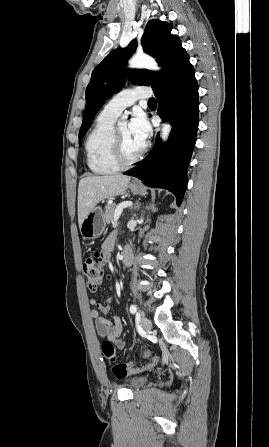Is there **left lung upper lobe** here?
<instances>
[{
  "instance_id": "5c2ea615",
  "label": "left lung upper lobe",
  "mask_w": 269,
  "mask_h": 447,
  "mask_svg": "<svg viewBox=\"0 0 269 447\" xmlns=\"http://www.w3.org/2000/svg\"><path fill=\"white\" fill-rule=\"evenodd\" d=\"M171 29L172 26L166 22L151 20L141 39L144 52L156 58L162 67L159 72L125 68L126 61L136 50L135 40L124 49L113 50L96 66L86 89V107L79 131V144L105 100L124 87L126 78L134 84L150 85L153 91L167 81L180 55L185 51L179 38L171 34Z\"/></svg>"
}]
</instances>
